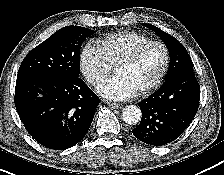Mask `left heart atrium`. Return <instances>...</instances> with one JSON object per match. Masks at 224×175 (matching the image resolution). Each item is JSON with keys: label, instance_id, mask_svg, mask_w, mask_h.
<instances>
[{"label": "left heart atrium", "instance_id": "1", "mask_svg": "<svg viewBox=\"0 0 224 175\" xmlns=\"http://www.w3.org/2000/svg\"><path fill=\"white\" fill-rule=\"evenodd\" d=\"M98 92L104 98L121 101L132 97L136 93V90L123 76L115 74L105 79L98 86Z\"/></svg>", "mask_w": 224, "mask_h": 175}]
</instances>
